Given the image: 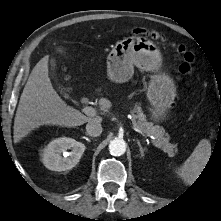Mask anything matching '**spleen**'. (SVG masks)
Instances as JSON below:
<instances>
[{"instance_id": "spleen-1", "label": "spleen", "mask_w": 221, "mask_h": 221, "mask_svg": "<svg viewBox=\"0 0 221 221\" xmlns=\"http://www.w3.org/2000/svg\"><path fill=\"white\" fill-rule=\"evenodd\" d=\"M211 155V144L208 139H202L192 154L178 169V175L184 182L190 184L201 173Z\"/></svg>"}]
</instances>
